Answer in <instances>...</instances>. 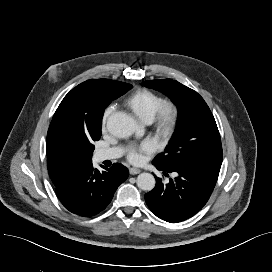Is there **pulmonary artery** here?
I'll list each match as a JSON object with an SVG mask.
<instances>
[{
	"label": "pulmonary artery",
	"mask_w": 272,
	"mask_h": 272,
	"mask_svg": "<svg viewBox=\"0 0 272 272\" xmlns=\"http://www.w3.org/2000/svg\"><path fill=\"white\" fill-rule=\"evenodd\" d=\"M122 154V149L118 147L100 149L95 153V159L98 162H102L105 160H114L120 157Z\"/></svg>",
	"instance_id": "obj_1"
}]
</instances>
